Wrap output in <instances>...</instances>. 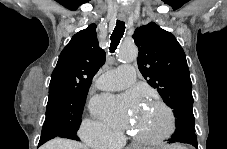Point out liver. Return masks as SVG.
<instances>
[{
    "label": "liver",
    "mask_w": 227,
    "mask_h": 149,
    "mask_svg": "<svg viewBox=\"0 0 227 149\" xmlns=\"http://www.w3.org/2000/svg\"><path fill=\"white\" fill-rule=\"evenodd\" d=\"M41 149H87V146L76 141L55 138L43 145Z\"/></svg>",
    "instance_id": "6515ba94"
}]
</instances>
